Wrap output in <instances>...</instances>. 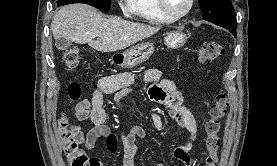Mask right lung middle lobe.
<instances>
[{"mask_svg":"<svg viewBox=\"0 0 277 166\" xmlns=\"http://www.w3.org/2000/svg\"><path fill=\"white\" fill-rule=\"evenodd\" d=\"M71 3H85L104 11H108L111 6V0H59L58 6Z\"/></svg>","mask_w":277,"mask_h":166,"instance_id":"obj_1","label":"right lung middle lobe"}]
</instances>
